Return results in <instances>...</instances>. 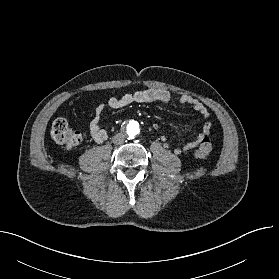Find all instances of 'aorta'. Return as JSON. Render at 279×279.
Returning <instances> with one entry per match:
<instances>
[{
    "label": "aorta",
    "instance_id": "obj_1",
    "mask_svg": "<svg viewBox=\"0 0 279 279\" xmlns=\"http://www.w3.org/2000/svg\"><path fill=\"white\" fill-rule=\"evenodd\" d=\"M125 129H126L128 136L134 137L137 134H139V131H140L139 123L134 120H131L126 123Z\"/></svg>",
    "mask_w": 279,
    "mask_h": 279
}]
</instances>
